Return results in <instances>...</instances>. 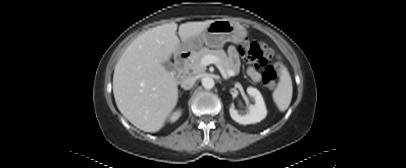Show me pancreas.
Here are the masks:
<instances>
[{"label": "pancreas", "mask_w": 406, "mask_h": 168, "mask_svg": "<svg viewBox=\"0 0 406 168\" xmlns=\"http://www.w3.org/2000/svg\"><path fill=\"white\" fill-rule=\"evenodd\" d=\"M205 55L216 56L219 60L220 66L227 73L232 70L230 59L223 49L210 50L208 48H201L199 51L194 52L190 57V62L186 65L187 71L191 70L193 74L202 72L205 67L201 65V60Z\"/></svg>", "instance_id": "obj_1"}]
</instances>
